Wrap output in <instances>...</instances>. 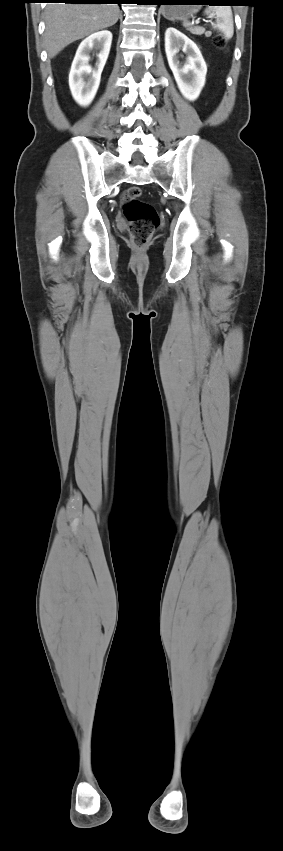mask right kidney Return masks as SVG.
Wrapping results in <instances>:
<instances>
[{"instance_id":"obj_1","label":"right kidney","mask_w":283,"mask_h":851,"mask_svg":"<svg viewBox=\"0 0 283 851\" xmlns=\"http://www.w3.org/2000/svg\"><path fill=\"white\" fill-rule=\"evenodd\" d=\"M111 42L112 33L103 30L85 38L77 49L69 74V86L74 100L81 106H88L96 95ZM93 49L99 50L95 67L89 64Z\"/></svg>"}]
</instances>
